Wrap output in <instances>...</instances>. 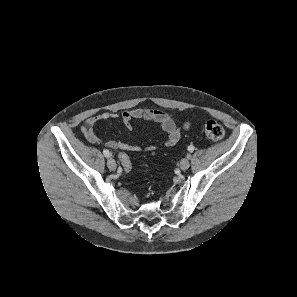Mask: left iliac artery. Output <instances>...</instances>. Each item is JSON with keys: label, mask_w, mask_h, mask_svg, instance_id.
Here are the masks:
<instances>
[{"label": "left iliac artery", "mask_w": 297, "mask_h": 297, "mask_svg": "<svg viewBox=\"0 0 297 297\" xmlns=\"http://www.w3.org/2000/svg\"><path fill=\"white\" fill-rule=\"evenodd\" d=\"M194 149H195V148H194V146H193V145H190V146H188V151H190V152H193V151H194ZM187 158H188V159H191V155H190V154H188V155H187Z\"/></svg>", "instance_id": "1"}]
</instances>
